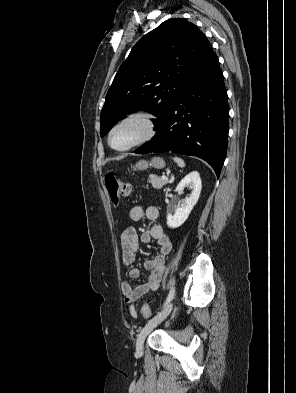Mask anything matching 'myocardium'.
Returning a JSON list of instances; mask_svg holds the SVG:
<instances>
[{
	"mask_svg": "<svg viewBox=\"0 0 296 393\" xmlns=\"http://www.w3.org/2000/svg\"><path fill=\"white\" fill-rule=\"evenodd\" d=\"M132 120H138L145 125L146 130H145L144 135L142 137H140L139 139H137L132 144H130L124 148L113 147V145L111 143V136H112V133L114 132V130L117 127H119L120 125H122L123 123H126L128 121H132ZM156 133H157L156 117L149 112L137 111V112H132V113H129V114L123 116L116 123L113 124V126L110 128V130L108 132L107 142H108V145L110 146L111 149H113L117 152H124V151H128L130 149H133L137 146H140V145L150 141L156 135Z\"/></svg>",
	"mask_w": 296,
	"mask_h": 393,
	"instance_id": "1",
	"label": "myocardium"
}]
</instances>
